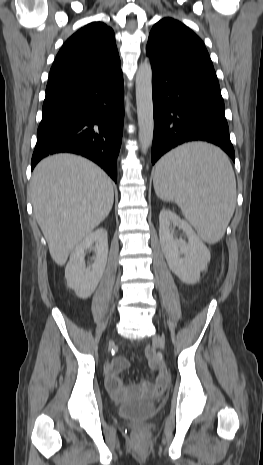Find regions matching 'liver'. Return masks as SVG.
Segmentation results:
<instances>
[{
    "label": "liver",
    "instance_id": "obj_1",
    "mask_svg": "<svg viewBox=\"0 0 263 465\" xmlns=\"http://www.w3.org/2000/svg\"><path fill=\"white\" fill-rule=\"evenodd\" d=\"M31 199L50 255L63 266L71 251L108 216L114 192L111 179L100 167L63 153L35 167Z\"/></svg>",
    "mask_w": 263,
    "mask_h": 465
}]
</instances>
